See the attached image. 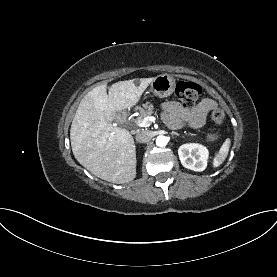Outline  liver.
<instances>
[{
  "label": "liver",
  "instance_id": "6515ba94",
  "mask_svg": "<svg viewBox=\"0 0 277 277\" xmlns=\"http://www.w3.org/2000/svg\"><path fill=\"white\" fill-rule=\"evenodd\" d=\"M155 78L107 84L88 92L73 118L70 140L77 161L93 175L116 184L136 177V149L130 132L111 124L118 111L136 105Z\"/></svg>",
  "mask_w": 277,
  "mask_h": 277
}]
</instances>
